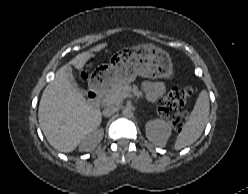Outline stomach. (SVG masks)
Wrapping results in <instances>:
<instances>
[{"label":"stomach","mask_w":248,"mask_h":194,"mask_svg":"<svg viewBox=\"0 0 248 194\" xmlns=\"http://www.w3.org/2000/svg\"><path fill=\"white\" fill-rule=\"evenodd\" d=\"M101 84L115 86L133 82L137 76L144 78H170L173 69L169 55L152 44H141L121 54H113L104 69Z\"/></svg>","instance_id":"obj_1"}]
</instances>
